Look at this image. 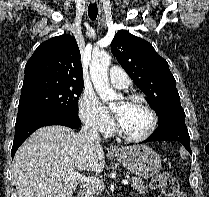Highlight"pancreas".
Here are the masks:
<instances>
[{
	"label": "pancreas",
	"mask_w": 209,
	"mask_h": 197,
	"mask_svg": "<svg viewBox=\"0 0 209 197\" xmlns=\"http://www.w3.org/2000/svg\"><path fill=\"white\" fill-rule=\"evenodd\" d=\"M131 186L134 190H137L140 193H144L147 191V187L144 185V182L141 178L133 177ZM101 191L102 189L100 186L90 184L87 187V197H95V194H99Z\"/></svg>",
	"instance_id": "1"
}]
</instances>
